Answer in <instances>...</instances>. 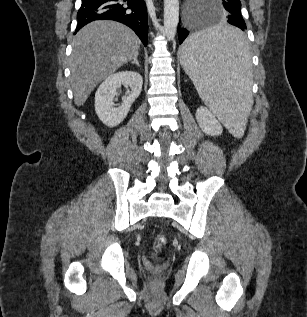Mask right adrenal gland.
Returning a JSON list of instances; mask_svg holds the SVG:
<instances>
[{"instance_id": "1", "label": "right adrenal gland", "mask_w": 307, "mask_h": 317, "mask_svg": "<svg viewBox=\"0 0 307 317\" xmlns=\"http://www.w3.org/2000/svg\"><path fill=\"white\" fill-rule=\"evenodd\" d=\"M131 64H136L138 67H140V64H139V62L137 60V56L134 57L133 61H131Z\"/></svg>"}]
</instances>
